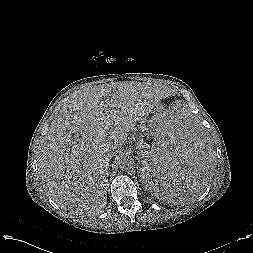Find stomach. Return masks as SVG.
Returning a JSON list of instances; mask_svg holds the SVG:
<instances>
[{"mask_svg":"<svg viewBox=\"0 0 253 253\" xmlns=\"http://www.w3.org/2000/svg\"><path fill=\"white\" fill-rule=\"evenodd\" d=\"M166 114L163 108L155 106L142 118L140 128L146 137H152L158 127L160 119Z\"/></svg>","mask_w":253,"mask_h":253,"instance_id":"0dacf381","label":"stomach"}]
</instances>
